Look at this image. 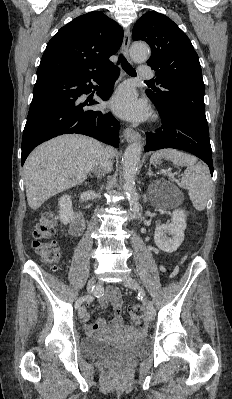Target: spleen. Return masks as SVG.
<instances>
[{
	"label": "spleen",
	"instance_id": "1",
	"mask_svg": "<svg viewBox=\"0 0 232 399\" xmlns=\"http://www.w3.org/2000/svg\"><path fill=\"white\" fill-rule=\"evenodd\" d=\"M158 158L173 162L174 166H186L185 176L181 178V186L188 190L189 198L195 209H205L210 196L211 176L208 166L198 162L195 156H189L178 150H159L151 156L150 164H157Z\"/></svg>",
	"mask_w": 232,
	"mask_h": 399
}]
</instances>
